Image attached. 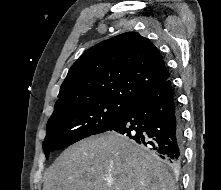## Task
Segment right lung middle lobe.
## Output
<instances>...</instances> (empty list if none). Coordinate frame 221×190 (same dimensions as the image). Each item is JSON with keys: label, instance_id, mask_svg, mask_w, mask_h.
<instances>
[{"label": "right lung middle lobe", "instance_id": "right-lung-middle-lobe-1", "mask_svg": "<svg viewBox=\"0 0 221 190\" xmlns=\"http://www.w3.org/2000/svg\"><path fill=\"white\" fill-rule=\"evenodd\" d=\"M128 104L118 99H102L54 110L43 144L46 158L51 151L111 130L123 117Z\"/></svg>", "mask_w": 221, "mask_h": 190}]
</instances>
